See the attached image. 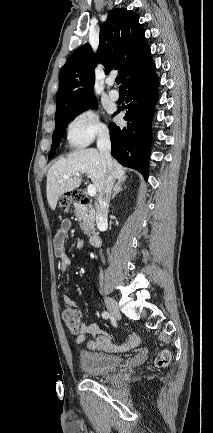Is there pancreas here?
<instances>
[{
	"label": "pancreas",
	"mask_w": 213,
	"mask_h": 433,
	"mask_svg": "<svg viewBox=\"0 0 213 433\" xmlns=\"http://www.w3.org/2000/svg\"><path fill=\"white\" fill-rule=\"evenodd\" d=\"M75 216L80 222V228L85 234L90 235L94 227V210L87 205L75 204Z\"/></svg>",
	"instance_id": "obj_1"
}]
</instances>
